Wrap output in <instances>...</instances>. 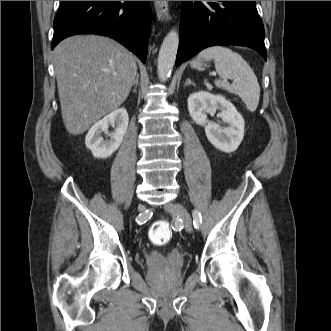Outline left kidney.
Listing matches in <instances>:
<instances>
[{"mask_svg": "<svg viewBox=\"0 0 331 331\" xmlns=\"http://www.w3.org/2000/svg\"><path fill=\"white\" fill-rule=\"evenodd\" d=\"M188 110L193 121L205 127L208 140L217 149L231 153L238 148L243 140L245 122L230 101L221 95L196 92L188 98ZM217 110H220L218 116L228 123V127L222 128L208 121L207 113L214 114Z\"/></svg>", "mask_w": 331, "mask_h": 331, "instance_id": "5707ae66", "label": "left kidney"}]
</instances>
